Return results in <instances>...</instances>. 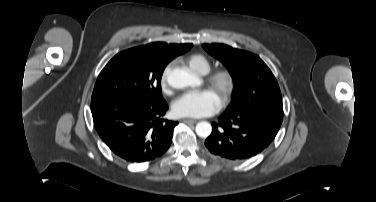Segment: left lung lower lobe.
<instances>
[{"mask_svg":"<svg viewBox=\"0 0 376 202\" xmlns=\"http://www.w3.org/2000/svg\"><path fill=\"white\" fill-rule=\"evenodd\" d=\"M281 123L282 118L263 111L250 110L239 115L226 111L212 123L213 130L205 145L222 158L247 159L272 143Z\"/></svg>","mask_w":376,"mask_h":202,"instance_id":"left-lung-lower-lobe-1","label":"left lung lower lobe"}]
</instances>
